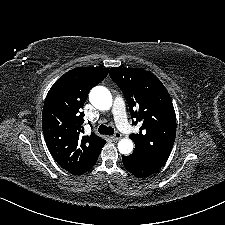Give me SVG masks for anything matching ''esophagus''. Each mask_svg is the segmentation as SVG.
I'll use <instances>...</instances> for the list:
<instances>
[{
    "label": "esophagus",
    "mask_w": 225,
    "mask_h": 225,
    "mask_svg": "<svg viewBox=\"0 0 225 225\" xmlns=\"http://www.w3.org/2000/svg\"><path fill=\"white\" fill-rule=\"evenodd\" d=\"M112 141H117L121 138V134L120 133H115L113 136H110Z\"/></svg>",
    "instance_id": "34e87169"
}]
</instances>
